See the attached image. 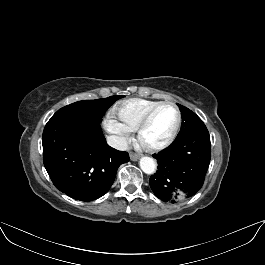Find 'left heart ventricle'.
I'll use <instances>...</instances> for the list:
<instances>
[{
  "mask_svg": "<svg viewBox=\"0 0 265 265\" xmlns=\"http://www.w3.org/2000/svg\"><path fill=\"white\" fill-rule=\"evenodd\" d=\"M177 115L171 106L160 108L152 117L142 133V141L147 145H157L163 142L172 132Z\"/></svg>",
  "mask_w": 265,
  "mask_h": 265,
  "instance_id": "b2bd125f",
  "label": "left heart ventricle"
}]
</instances>
